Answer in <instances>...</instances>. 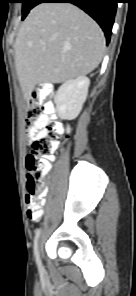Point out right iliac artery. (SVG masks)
Listing matches in <instances>:
<instances>
[{
  "label": "right iliac artery",
  "instance_id": "1",
  "mask_svg": "<svg viewBox=\"0 0 136 296\" xmlns=\"http://www.w3.org/2000/svg\"><path fill=\"white\" fill-rule=\"evenodd\" d=\"M39 235H40V229L37 230L35 238H34V256H35V260L38 266V269L42 272L44 270L41 259H40V255H39V250H38V239H39Z\"/></svg>",
  "mask_w": 136,
  "mask_h": 296
}]
</instances>
